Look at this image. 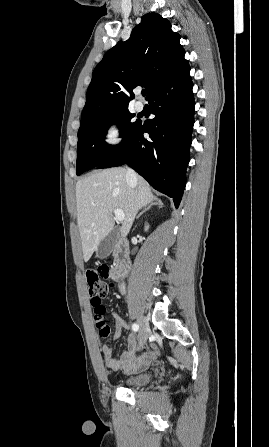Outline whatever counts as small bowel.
Masks as SVG:
<instances>
[{
    "label": "small bowel",
    "instance_id": "small-bowel-1",
    "mask_svg": "<svg viewBox=\"0 0 269 447\" xmlns=\"http://www.w3.org/2000/svg\"><path fill=\"white\" fill-rule=\"evenodd\" d=\"M112 317L115 321V329L113 331V338H119L122 333L128 329V324L125 319L117 312L112 311ZM128 350L119 354L113 355L112 348L108 344L102 346V353L105 364L111 369H123L126 372H135L148 367L156 358L157 352L153 350H144L138 352L137 339L134 334H129L126 337ZM137 356V358H135Z\"/></svg>",
    "mask_w": 269,
    "mask_h": 447
}]
</instances>
